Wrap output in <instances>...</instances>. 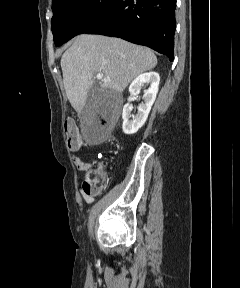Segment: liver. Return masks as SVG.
I'll return each instance as SVG.
<instances>
[{"mask_svg": "<svg viewBox=\"0 0 240 288\" xmlns=\"http://www.w3.org/2000/svg\"><path fill=\"white\" fill-rule=\"evenodd\" d=\"M156 65L157 57L150 49L102 35L75 37L61 58L66 95L79 114L87 103L95 74L102 73L110 80H102V88L122 92L134 78Z\"/></svg>", "mask_w": 240, "mask_h": 288, "instance_id": "1", "label": "liver"}]
</instances>
